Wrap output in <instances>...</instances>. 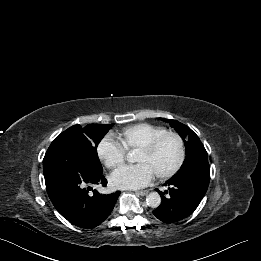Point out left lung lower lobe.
Returning <instances> with one entry per match:
<instances>
[{"label":"left lung lower lobe","mask_w":261,"mask_h":261,"mask_svg":"<svg viewBox=\"0 0 261 261\" xmlns=\"http://www.w3.org/2000/svg\"><path fill=\"white\" fill-rule=\"evenodd\" d=\"M210 181V166L208 162L202 163L186 173L173 176L165 186H169L168 196L162 195L160 206L153 214L164 223L180 221L199 205L205 195Z\"/></svg>","instance_id":"left-lung-lower-lobe-1"}]
</instances>
